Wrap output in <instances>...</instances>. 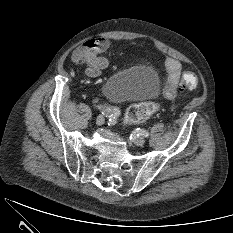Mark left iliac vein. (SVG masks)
Masks as SVG:
<instances>
[{"mask_svg":"<svg viewBox=\"0 0 233 233\" xmlns=\"http://www.w3.org/2000/svg\"><path fill=\"white\" fill-rule=\"evenodd\" d=\"M134 143H135L137 146H142V145H144V143H145V138H143V137H136V138L134 139Z\"/></svg>","mask_w":233,"mask_h":233,"instance_id":"4c4485c4","label":"left iliac vein"}]
</instances>
